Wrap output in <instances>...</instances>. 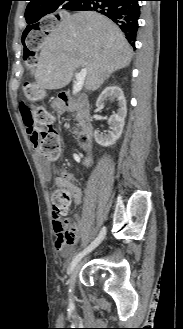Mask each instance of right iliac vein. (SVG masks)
<instances>
[{
	"label": "right iliac vein",
	"instance_id": "1",
	"mask_svg": "<svg viewBox=\"0 0 183 329\" xmlns=\"http://www.w3.org/2000/svg\"><path fill=\"white\" fill-rule=\"evenodd\" d=\"M82 265V262L79 263L76 268L74 269L73 273H72V276H71V280H70V289H71V292L73 293L74 291V287H75V282H76V276H77V273L80 269Z\"/></svg>",
	"mask_w": 183,
	"mask_h": 329
}]
</instances>
